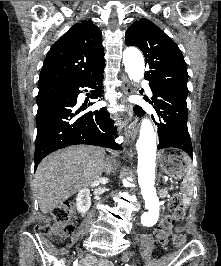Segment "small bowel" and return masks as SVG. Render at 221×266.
Listing matches in <instances>:
<instances>
[{"label": "small bowel", "instance_id": "small-bowel-1", "mask_svg": "<svg viewBox=\"0 0 221 266\" xmlns=\"http://www.w3.org/2000/svg\"><path fill=\"white\" fill-rule=\"evenodd\" d=\"M161 245H165V244H161ZM85 265L86 266H114L113 263L110 262L109 260H104V259L95 260L93 258H90Z\"/></svg>", "mask_w": 221, "mask_h": 266}]
</instances>
